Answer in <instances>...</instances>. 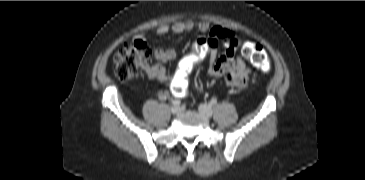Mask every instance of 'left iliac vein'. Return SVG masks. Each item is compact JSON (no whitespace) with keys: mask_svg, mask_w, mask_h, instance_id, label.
Segmentation results:
<instances>
[{"mask_svg":"<svg viewBox=\"0 0 365 180\" xmlns=\"http://www.w3.org/2000/svg\"><path fill=\"white\" fill-rule=\"evenodd\" d=\"M198 110L206 118H210L212 116V113H213L211 107L207 104H200L198 106Z\"/></svg>","mask_w":365,"mask_h":180,"instance_id":"4c4485c4","label":"left iliac vein"}]
</instances>
